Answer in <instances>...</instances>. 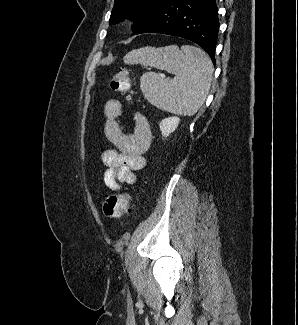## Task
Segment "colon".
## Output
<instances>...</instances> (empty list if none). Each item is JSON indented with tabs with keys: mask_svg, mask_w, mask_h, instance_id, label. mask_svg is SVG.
<instances>
[{
	"mask_svg": "<svg viewBox=\"0 0 298 325\" xmlns=\"http://www.w3.org/2000/svg\"><path fill=\"white\" fill-rule=\"evenodd\" d=\"M110 87L113 91L126 94L130 90V75L126 68H120L112 77ZM130 98V97H128ZM131 196L127 193L108 196L103 203L104 215L117 220L130 210Z\"/></svg>",
	"mask_w": 298,
	"mask_h": 325,
	"instance_id": "colon-1",
	"label": "colon"
}]
</instances>
